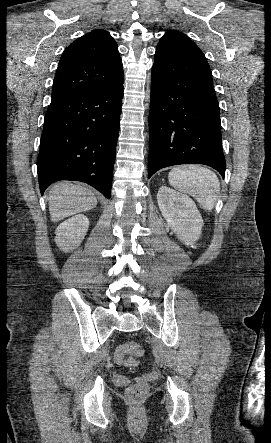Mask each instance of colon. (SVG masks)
Here are the masks:
<instances>
[{
  "mask_svg": "<svg viewBox=\"0 0 271 443\" xmlns=\"http://www.w3.org/2000/svg\"><path fill=\"white\" fill-rule=\"evenodd\" d=\"M142 354L143 350L138 343L126 342L116 348L114 358L120 364L132 365L135 363L132 357H140ZM146 391L147 384L145 382H138L128 388L127 398L131 402H138L144 397Z\"/></svg>",
  "mask_w": 271,
  "mask_h": 443,
  "instance_id": "1",
  "label": "colon"
}]
</instances>
